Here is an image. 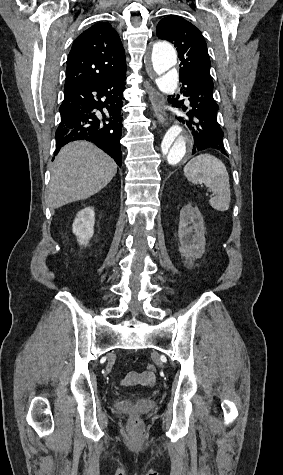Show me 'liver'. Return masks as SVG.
Wrapping results in <instances>:
<instances>
[{"label": "liver", "mask_w": 283, "mask_h": 475, "mask_svg": "<svg viewBox=\"0 0 283 475\" xmlns=\"http://www.w3.org/2000/svg\"><path fill=\"white\" fill-rule=\"evenodd\" d=\"M117 168L114 160L91 142L67 144L52 166L50 208H61L94 196L111 182Z\"/></svg>", "instance_id": "1"}]
</instances>
